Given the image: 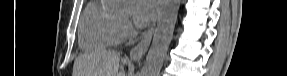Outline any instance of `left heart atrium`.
I'll list each match as a JSON object with an SVG mask.
<instances>
[{
	"label": "left heart atrium",
	"instance_id": "obj_1",
	"mask_svg": "<svg viewBox=\"0 0 287 76\" xmlns=\"http://www.w3.org/2000/svg\"><path fill=\"white\" fill-rule=\"evenodd\" d=\"M132 13L139 26L148 24L156 15L157 3L154 0H132Z\"/></svg>",
	"mask_w": 287,
	"mask_h": 76
}]
</instances>
